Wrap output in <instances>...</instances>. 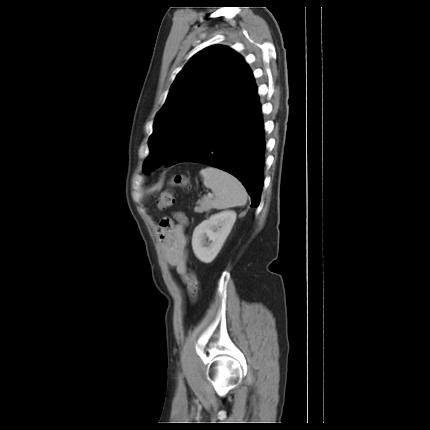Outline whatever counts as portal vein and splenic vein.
<instances>
[{"label":"portal vein and splenic vein","instance_id":"18ae733b","mask_svg":"<svg viewBox=\"0 0 430 430\" xmlns=\"http://www.w3.org/2000/svg\"><path fill=\"white\" fill-rule=\"evenodd\" d=\"M208 196H209V197H210V196L212 197V196H213V194H211V193H208Z\"/></svg>","mask_w":430,"mask_h":430}]
</instances>
